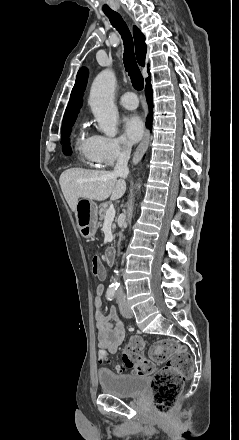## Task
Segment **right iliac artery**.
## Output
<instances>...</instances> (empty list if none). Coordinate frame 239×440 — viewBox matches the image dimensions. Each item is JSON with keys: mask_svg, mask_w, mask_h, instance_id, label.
<instances>
[{"mask_svg": "<svg viewBox=\"0 0 239 440\" xmlns=\"http://www.w3.org/2000/svg\"><path fill=\"white\" fill-rule=\"evenodd\" d=\"M116 290H117V287H114V286H110L107 289L106 297L108 300H112L115 297Z\"/></svg>", "mask_w": 239, "mask_h": 440, "instance_id": "82829eb1", "label": "right iliac artery"}]
</instances>
